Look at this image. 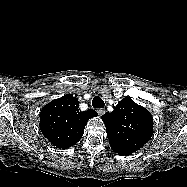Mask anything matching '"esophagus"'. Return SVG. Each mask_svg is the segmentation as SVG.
Segmentation results:
<instances>
[{
  "label": "esophagus",
  "mask_w": 187,
  "mask_h": 187,
  "mask_svg": "<svg viewBox=\"0 0 187 187\" xmlns=\"http://www.w3.org/2000/svg\"><path fill=\"white\" fill-rule=\"evenodd\" d=\"M97 112H98V114H99L100 116H102V115L105 113V109H104V108H99V109L97 110Z\"/></svg>",
  "instance_id": "obj_1"
}]
</instances>
